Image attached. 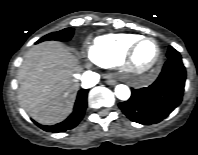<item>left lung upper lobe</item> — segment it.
Listing matches in <instances>:
<instances>
[{"mask_svg": "<svg viewBox=\"0 0 198 155\" xmlns=\"http://www.w3.org/2000/svg\"><path fill=\"white\" fill-rule=\"evenodd\" d=\"M168 60H181V56L178 51H176L173 47H169L167 52Z\"/></svg>", "mask_w": 198, "mask_h": 155, "instance_id": "left-lung-upper-lobe-1", "label": "left lung upper lobe"}]
</instances>
